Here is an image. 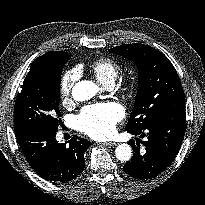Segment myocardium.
Wrapping results in <instances>:
<instances>
[{"mask_svg": "<svg viewBox=\"0 0 205 205\" xmlns=\"http://www.w3.org/2000/svg\"><path fill=\"white\" fill-rule=\"evenodd\" d=\"M137 82H138L137 75L133 72H130L127 75H125V77L122 79L120 88L124 92H131L137 86Z\"/></svg>", "mask_w": 205, "mask_h": 205, "instance_id": "f54148a6", "label": "myocardium"}]
</instances>
